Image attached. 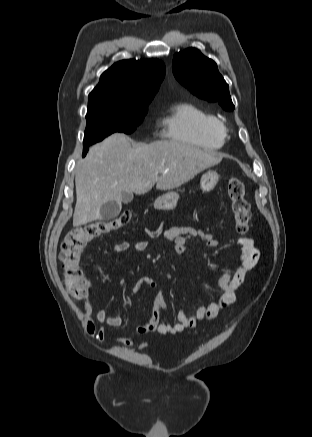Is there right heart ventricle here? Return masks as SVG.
<instances>
[{"mask_svg": "<svg viewBox=\"0 0 312 437\" xmlns=\"http://www.w3.org/2000/svg\"><path fill=\"white\" fill-rule=\"evenodd\" d=\"M161 128L172 141L206 149L221 148L226 139L218 116L189 103L174 106L162 118Z\"/></svg>", "mask_w": 312, "mask_h": 437, "instance_id": "1", "label": "right heart ventricle"}]
</instances>
